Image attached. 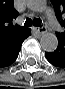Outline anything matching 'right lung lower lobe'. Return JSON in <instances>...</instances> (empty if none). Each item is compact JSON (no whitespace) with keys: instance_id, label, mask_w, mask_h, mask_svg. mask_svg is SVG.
<instances>
[{"instance_id":"1","label":"right lung lower lobe","mask_w":65,"mask_h":89,"mask_svg":"<svg viewBox=\"0 0 65 89\" xmlns=\"http://www.w3.org/2000/svg\"><path fill=\"white\" fill-rule=\"evenodd\" d=\"M30 35L28 29L18 36L0 40V68L9 66L16 60L23 41Z\"/></svg>"}]
</instances>
